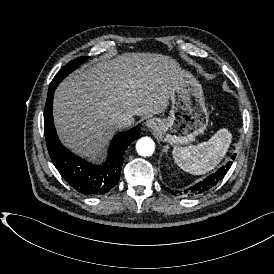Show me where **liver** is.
<instances>
[{
  "label": "liver",
  "mask_w": 274,
  "mask_h": 274,
  "mask_svg": "<svg viewBox=\"0 0 274 274\" xmlns=\"http://www.w3.org/2000/svg\"><path fill=\"white\" fill-rule=\"evenodd\" d=\"M179 65L155 53L108 54L70 74L57 88L53 115L57 133L73 153L99 162L121 115L163 113Z\"/></svg>",
  "instance_id": "obj_1"
}]
</instances>
